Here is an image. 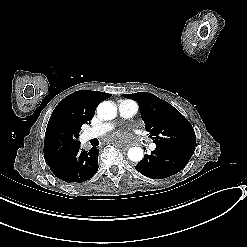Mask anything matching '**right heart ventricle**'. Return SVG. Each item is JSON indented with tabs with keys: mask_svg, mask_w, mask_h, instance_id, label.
<instances>
[{
	"mask_svg": "<svg viewBox=\"0 0 247 247\" xmlns=\"http://www.w3.org/2000/svg\"><path fill=\"white\" fill-rule=\"evenodd\" d=\"M121 104H129L137 108V104L131 100H120L118 102V105H121Z\"/></svg>",
	"mask_w": 247,
	"mask_h": 247,
	"instance_id": "e07e8e85",
	"label": "right heart ventricle"
}]
</instances>
